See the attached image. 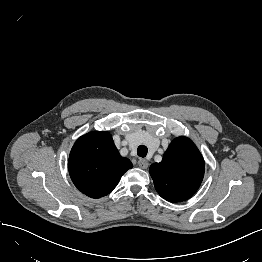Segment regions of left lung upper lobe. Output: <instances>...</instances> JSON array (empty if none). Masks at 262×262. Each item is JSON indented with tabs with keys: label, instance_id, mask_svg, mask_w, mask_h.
I'll list each match as a JSON object with an SVG mask.
<instances>
[{
	"label": "left lung upper lobe",
	"instance_id": "1",
	"mask_svg": "<svg viewBox=\"0 0 262 262\" xmlns=\"http://www.w3.org/2000/svg\"><path fill=\"white\" fill-rule=\"evenodd\" d=\"M204 160L194 143L186 137L174 139L160 163L149 171L160 196L170 202L190 198L204 176Z\"/></svg>",
	"mask_w": 262,
	"mask_h": 262
}]
</instances>
